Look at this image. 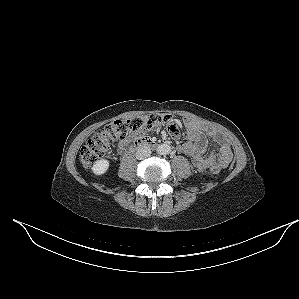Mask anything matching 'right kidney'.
Here are the masks:
<instances>
[{
	"instance_id": "ca27d5eb",
	"label": "right kidney",
	"mask_w": 299,
	"mask_h": 299,
	"mask_svg": "<svg viewBox=\"0 0 299 299\" xmlns=\"http://www.w3.org/2000/svg\"><path fill=\"white\" fill-rule=\"evenodd\" d=\"M108 168H109V161L102 159L94 163L92 167V171L95 175H103L104 173L107 172Z\"/></svg>"
}]
</instances>
